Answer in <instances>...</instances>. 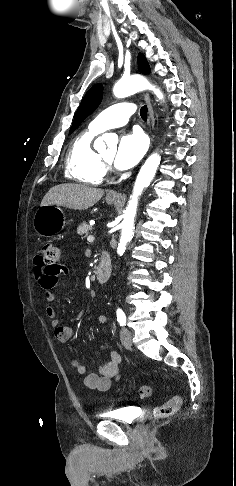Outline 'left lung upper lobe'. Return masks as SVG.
<instances>
[{
    "label": "left lung upper lobe",
    "instance_id": "left-lung-upper-lobe-1",
    "mask_svg": "<svg viewBox=\"0 0 236 486\" xmlns=\"http://www.w3.org/2000/svg\"><path fill=\"white\" fill-rule=\"evenodd\" d=\"M138 69L141 73L146 74L150 72L149 64L143 54L138 55ZM103 96V87L101 84H96L84 96L70 129V134L77 129L81 122L90 115L101 103Z\"/></svg>",
    "mask_w": 236,
    "mask_h": 486
}]
</instances>
